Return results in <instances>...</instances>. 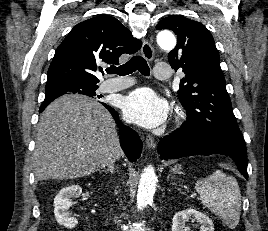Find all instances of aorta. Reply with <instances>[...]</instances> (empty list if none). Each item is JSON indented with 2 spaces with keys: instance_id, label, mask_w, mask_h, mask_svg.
Instances as JSON below:
<instances>
[{
  "instance_id": "aorta-1",
  "label": "aorta",
  "mask_w": 268,
  "mask_h": 231,
  "mask_svg": "<svg viewBox=\"0 0 268 231\" xmlns=\"http://www.w3.org/2000/svg\"><path fill=\"white\" fill-rule=\"evenodd\" d=\"M157 42L162 49L171 50L176 45V38L170 32H160L157 36ZM157 176L152 165L147 166L139 181L137 192V208L143 209L152 201L156 190Z\"/></svg>"
}]
</instances>
